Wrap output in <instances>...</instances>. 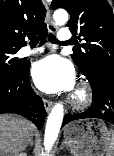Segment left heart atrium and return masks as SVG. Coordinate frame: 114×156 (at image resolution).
Returning <instances> with one entry per match:
<instances>
[{
  "mask_svg": "<svg viewBox=\"0 0 114 156\" xmlns=\"http://www.w3.org/2000/svg\"><path fill=\"white\" fill-rule=\"evenodd\" d=\"M36 86L47 93L71 90L74 71L71 64L60 56H48L36 62L32 69Z\"/></svg>",
  "mask_w": 114,
  "mask_h": 156,
  "instance_id": "left-heart-atrium-1",
  "label": "left heart atrium"
}]
</instances>
